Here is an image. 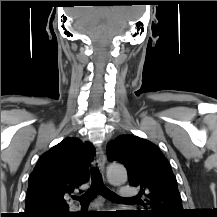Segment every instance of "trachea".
I'll list each match as a JSON object with an SVG mask.
<instances>
[{
	"label": "trachea",
	"mask_w": 217,
	"mask_h": 217,
	"mask_svg": "<svg viewBox=\"0 0 217 217\" xmlns=\"http://www.w3.org/2000/svg\"><path fill=\"white\" fill-rule=\"evenodd\" d=\"M92 184L90 189L83 194L81 197H73L80 201L81 205H88L98 194L110 201H123L124 199L118 196L113 191L109 190L102 182L100 175L95 169L92 170L91 174Z\"/></svg>",
	"instance_id": "obj_1"
}]
</instances>
